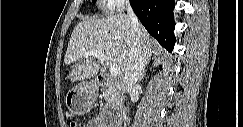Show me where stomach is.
<instances>
[{"instance_id": "obj_1", "label": "stomach", "mask_w": 243, "mask_h": 127, "mask_svg": "<svg viewBox=\"0 0 243 127\" xmlns=\"http://www.w3.org/2000/svg\"><path fill=\"white\" fill-rule=\"evenodd\" d=\"M97 94V86L90 82H81L65 95L64 103L70 114L82 116L88 113Z\"/></svg>"}]
</instances>
